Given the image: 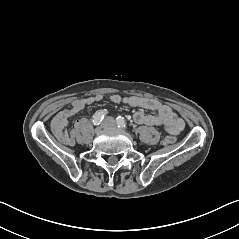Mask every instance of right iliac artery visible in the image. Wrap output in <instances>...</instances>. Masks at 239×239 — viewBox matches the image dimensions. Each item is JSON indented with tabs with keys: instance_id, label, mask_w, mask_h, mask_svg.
Returning <instances> with one entry per match:
<instances>
[{
	"instance_id": "obj_1",
	"label": "right iliac artery",
	"mask_w": 239,
	"mask_h": 239,
	"mask_svg": "<svg viewBox=\"0 0 239 239\" xmlns=\"http://www.w3.org/2000/svg\"><path fill=\"white\" fill-rule=\"evenodd\" d=\"M106 115V110H99L93 115L92 122L94 125H99Z\"/></svg>"
}]
</instances>
